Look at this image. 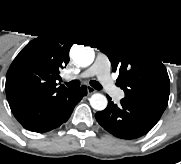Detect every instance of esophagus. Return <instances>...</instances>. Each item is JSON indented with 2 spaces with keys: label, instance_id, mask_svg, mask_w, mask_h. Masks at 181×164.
Segmentation results:
<instances>
[{
  "label": "esophagus",
  "instance_id": "obj_1",
  "mask_svg": "<svg viewBox=\"0 0 181 164\" xmlns=\"http://www.w3.org/2000/svg\"><path fill=\"white\" fill-rule=\"evenodd\" d=\"M87 92H88V95H91V94L95 93V89L92 88L91 86H87Z\"/></svg>",
  "mask_w": 181,
  "mask_h": 164
}]
</instances>
